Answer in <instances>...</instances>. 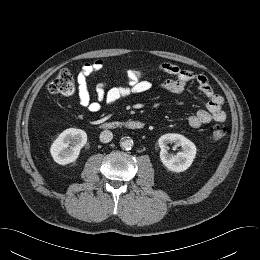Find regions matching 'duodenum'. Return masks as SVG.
Wrapping results in <instances>:
<instances>
[{
  "mask_svg": "<svg viewBox=\"0 0 260 260\" xmlns=\"http://www.w3.org/2000/svg\"><path fill=\"white\" fill-rule=\"evenodd\" d=\"M100 127L102 129L127 128L132 130H142L144 128V123L141 121H128V122L107 121L101 123Z\"/></svg>",
  "mask_w": 260,
  "mask_h": 260,
  "instance_id": "1",
  "label": "duodenum"
}]
</instances>
